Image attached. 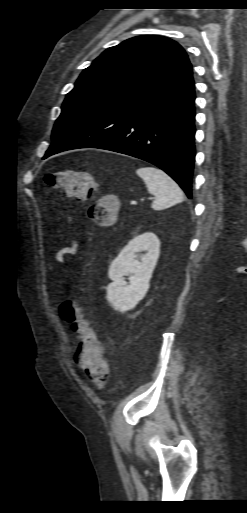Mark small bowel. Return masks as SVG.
Listing matches in <instances>:
<instances>
[{
    "label": "small bowel",
    "instance_id": "small-bowel-1",
    "mask_svg": "<svg viewBox=\"0 0 247 513\" xmlns=\"http://www.w3.org/2000/svg\"><path fill=\"white\" fill-rule=\"evenodd\" d=\"M77 252V243L72 241L68 246L60 248L55 254V260L59 264L65 262L66 257L74 255ZM73 361V360H72ZM75 363V361H73Z\"/></svg>",
    "mask_w": 247,
    "mask_h": 513
}]
</instances>
